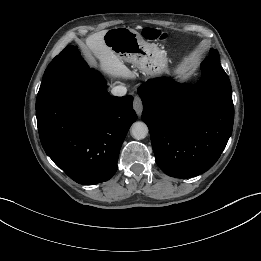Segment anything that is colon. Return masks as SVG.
Instances as JSON below:
<instances>
[{
	"label": "colon",
	"mask_w": 261,
	"mask_h": 261,
	"mask_svg": "<svg viewBox=\"0 0 261 261\" xmlns=\"http://www.w3.org/2000/svg\"><path fill=\"white\" fill-rule=\"evenodd\" d=\"M143 36L149 40H166L168 34L155 28H145L143 30Z\"/></svg>",
	"instance_id": "5ec220e1"
}]
</instances>
